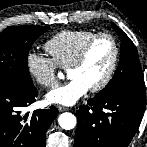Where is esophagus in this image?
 Here are the masks:
<instances>
[{
    "mask_svg": "<svg viewBox=\"0 0 147 147\" xmlns=\"http://www.w3.org/2000/svg\"><path fill=\"white\" fill-rule=\"evenodd\" d=\"M57 109H58L59 112H63V111L68 110V108L63 107V106H57Z\"/></svg>",
    "mask_w": 147,
    "mask_h": 147,
    "instance_id": "esophagus-1",
    "label": "esophagus"
}]
</instances>
